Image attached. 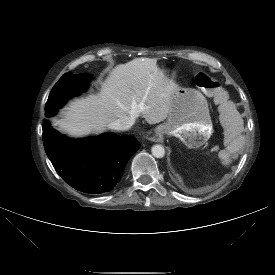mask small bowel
<instances>
[{
	"instance_id": "obj_1",
	"label": "small bowel",
	"mask_w": 275,
	"mask_h": 275,
	"mask_svg": "<svg viewBox=\"0 0 275 275\" xmlns=\"http://www.w3.org/2000/svg\"><path fill=\"white\" fill-rule=\"evenodd\" d=\"M221 108L223 128L227 134V147L220 151L219 157L224 160L225 163H229L231 156H236L241 151L243 121L232 102L223 103Z\"/></svg>"
}]
</instances>
